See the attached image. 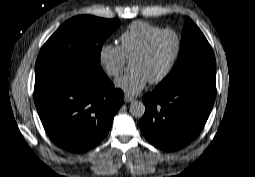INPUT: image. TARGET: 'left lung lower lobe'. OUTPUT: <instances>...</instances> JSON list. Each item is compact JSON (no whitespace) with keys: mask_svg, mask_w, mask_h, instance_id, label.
<instances>
[{"mask_svg":"<svg viewBox=\"0 0 255 177\" xmlns=\"http://www.w3.org/2000/svg\"><path fill=\"white\" fill-rule=\"evenodd\" d=\"M216 94L215 70H204L160 86L143 96V135L156 147L173 151L193 141L203 129Z\"/></svg>","mask_w":255,"mask_h":177,"instance_id":"obj_1","label":"left lung lower lobe"}]
</instances>
